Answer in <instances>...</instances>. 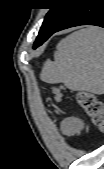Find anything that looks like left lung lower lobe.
<instances>
[{"label": "left lung lower lobe", "mask_w": 104, "mask_h": 169, "mask_svg": "<svg viewBox=\"0 0 104 169\" xmlns=\"http://www.w3.org/2000/svg\"><path fill=\"white\" fill-rule=\"evenodd\" d=\"M103 0H77L73 9L50 33L44 34L40 30L33 48L42 45L53 33L79 25H96L104 28Z\"/></svg>", "instance_id": "0a47b994"}]
</instances>
